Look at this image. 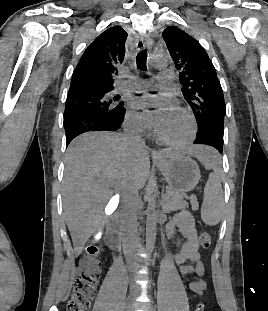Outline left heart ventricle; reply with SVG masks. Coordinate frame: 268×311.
Wrapping results in <instances>:
<instances>
[{
  "instance_id": "obj_1",
  "label": "left heart ventricle",
  "mask_w": 268,
  "mask_h": 311,
  "mask_svg": "<svg viewBox=\"0 0 268 311\" xmlns=\"http://www.w3.org/2000/svg\"><path fill=\"white\" fill-rule=\"evenodd\" d=\"M162 134L170 139H180L188 132V121L176 110L169 118L159 124Z\"/></svg>"
}]
</instances>
